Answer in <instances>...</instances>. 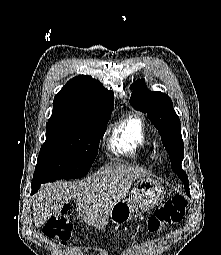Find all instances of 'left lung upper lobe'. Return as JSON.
Wrapping results in <instances>:
<instances>
[{
  "instance_id": "obj_1",
  "label": "left lung upper lobe",
  "mask_w": 221,
  "mask_h": 255,
  "mask_svg": "<svg viewBox=\"0 0 221 255\" xmlns=\"http://www.w3.org/2000/svg\"><path fill=\"white\" fill-rule=\"evenodd\" d=\"M131 105L148 115L149 119L161 135V140L170 155L172 170L184 183L189 193V181L181 168L184 156V144L181 136L180 119L174 111L170 97L162 92L150 91L145 87L144 79L137 80L131 86Z\"/></svg>"
}]
</instances>
